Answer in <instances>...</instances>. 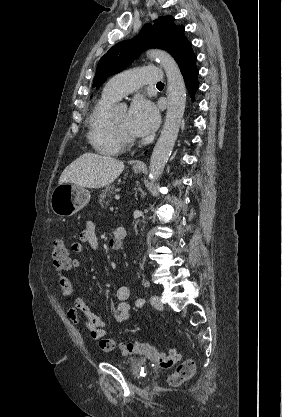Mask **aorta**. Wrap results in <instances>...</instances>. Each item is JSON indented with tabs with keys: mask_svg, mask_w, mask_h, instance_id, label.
<instances>
[{
	"mask_svg": "<svg viewBox=\"0 0 282 417\" xmlns=\"http://www.w3.org/2000/svg\"><path fill=\"white\" fill-rule=\"evenodd\" d=\"M148 58H153L164 68L167 76V110L164 126L154 146L150 158L149 178L155 182L162 174L164 166L173 150L177 140L181 120L183 118L186 104V88L182 72L173 56L160 50L151 48L146 52ZM117 108H126L125 102H119Z\"/></svg>",
	"mask_w": 282,
	"mask_h": 417,
	"instance_id": "762f6f07",
	"label": "aorta"
}]
</instances>
